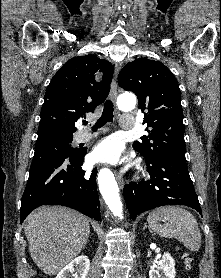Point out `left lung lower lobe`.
<instances>
[{"mask_svg":"<svg viewBox=\"0 0 221 278\" xmlns=\"http://www.w3.org/2000/svg\"><path fill=\"white\" fill-rule=\"evenodd\" d=\"M146 165L150 179L131 182L123 190L133 220L138 214L163 205H186L202 215L185 153H166L153 161H146Z\"/></svg>","mask_w":221,"mask_h":278,"instance_id":"0a47b994","label":"left lung lower lobe"}]
</instances>
